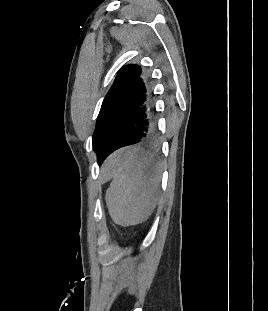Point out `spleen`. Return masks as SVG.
<instances>
[{
	"instance_id": "spleen-1",
	"label": "spleen",
	"mask_w": 268,
	"mask_h": 311,
	"mask_svg": "<svg viewBox=\"0 0 268 311\" xmlns=\"http://www.w3.org/2000/svg\"><path fill=\"white\" fill-rule=\"evenodd\" d=\"M112 164L105 200L113 222L127 227L146 221L157 205L161 177L154 153L140 144H127L118 149Z\"/></svg>"
}]
</instances>
